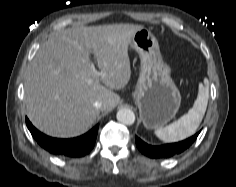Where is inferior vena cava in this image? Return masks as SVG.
I'll return each mask as SVG.
<instances>
[{
    "label": "inferior vena cava",
    "mask_w": 236,
    "mask_h": 187,
    "mask_svg": "<svg viewBox=\"0 0 236 187\" xmlns=\"http://www.w3.org/2000/svg\"><path fill=\"white\" fill-rule=\"evenodd\" d=\"M94 107L100 109L102 107V103L100 101H96L94 104Z\"/></svg>",
    "instance_id": "obj_1"
}]
</instances>
